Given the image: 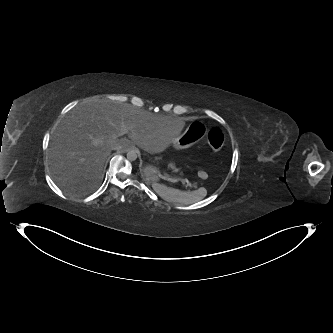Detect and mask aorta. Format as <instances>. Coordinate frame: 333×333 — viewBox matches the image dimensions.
Returning a JSON list of instances; mask_svg holds the SVG:
<instances>
[{"label":"aorta","mask_w":333,"mask_h":333,"mask_svg":"<svg viewBox=\"0 0 333 333\" xmlns=\"http://www.w3.org/2000/svg\"><path fill=\"white\" fill-rule=\"evenodd\" d=\"M127 159L129 161H135L137 159V153L134 150H130L127 152Z\"/></svg>","instance_id":"obj_1"}]
</instances>
